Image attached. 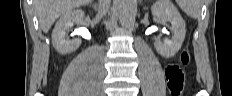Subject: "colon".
Instances as JSON below:
<instances>
[{
  "instance_id": "obj_1",
  "label": "colon",
  "mask_w": 232,
  "mask_h": 96,
  "mask_svg": "<svg viewBox=\"0 0 232 96\" xmlns=\"http://www.w3.org/2000/svg\"><path fill=\"white\" fill-rule=\"evenodd\" d=\"M190 56L187 50H183L180 55V63L183 66L189 64ZM165 75L168 80L169 89L172 95L178 96L181 94L184 87L183 72L179 65L173 64L166 67Z\"/></svg>"
}]
</instances>
